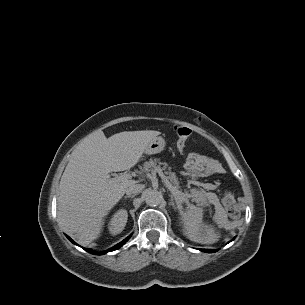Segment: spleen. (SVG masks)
Segmentation results:
<instances>
[{"instance_id":"obj_1","label":"spleen","mask_w":305,"mask_h":305,"mask_svg":"<svg viewBox=\"0 0 305 305\" xmlns=\"http://www.w3.org/2000/svg\"><path fill=\"white\" fill-rule=\"evenodd\" d=\"M204 210L193 204H188L184 210L179 212V223L182 226L183 234L191 241L202 244H213L219 236L213 225H208L203 221ZM219 228L225 227V218L219 209L214 216Z\"/></svg>"}]
</instances>
